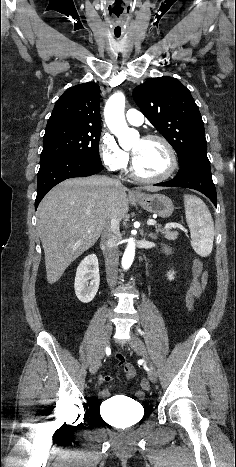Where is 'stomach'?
Segmentation results:
<instances>
[{"label": "stomach", "mask_w": 236, "mask_h": 467, "mask_svg": "<svg viewBox=\"0 0 236 467\" xmlns=\"http://www.w3.org/2000/svg\"><path fill=\"white\" fill-rule=\"evenodd\" d=\"M133 199L147 212L162 218L171 216L174 211L171 199L162 194H140Z\"/></svg>", "instance_id": "stomach-1"}]
</instances>
